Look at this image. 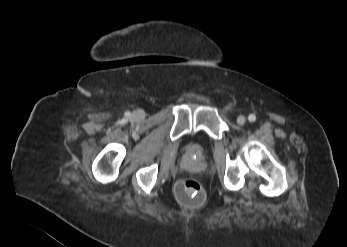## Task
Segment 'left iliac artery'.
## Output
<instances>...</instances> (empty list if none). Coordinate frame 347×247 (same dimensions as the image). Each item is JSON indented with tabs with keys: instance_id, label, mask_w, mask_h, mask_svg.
Returning a JSON list of instances; mask_svg holds the SVG:
<instances>
[{
	"instance_id": "obj_1",
	"label": "left iliac artery",
	"mask_w": 347,
	"mask_h": 247,
	"mask_svg": "<svg viewBox=\"0 0 347 247\" xmlns=\"http://www.w3.org/2000/svg\"><path fill=\"white\" fill-rule=\"evenodd\" d=\"M248 120H249L250 122H254V121L256 120V116H255L254 114H250V115L248 116Z\"/></svg>"
}]
</instances>
